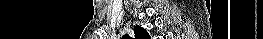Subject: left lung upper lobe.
<instances>
[{"instance_id": "obj_1", "label": "left lung upper lobe", "mask_w": 263, "mask_h": 39, "mask_svg": "<svg viewBox=\"0 0 263 39\" xmlns=\"http://www.w3.org/2000/svg\"><path fill=\"white\" fill-rule=\"evenodd\" d=\"M134 33H135V39H150V36L147 33V31L145 29L139 27V26H135ZM123 38L124 39H132L128 35H125Z\"/></svg>"}]
</instances>
